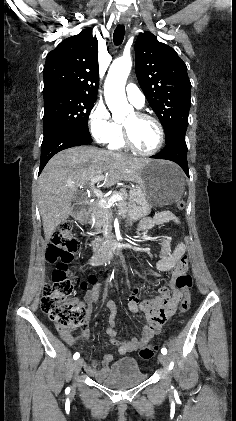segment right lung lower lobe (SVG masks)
Instances as JSON below:
<instances>
[{
  "instance_id": "obj_1",
  "label": "right lung lower lobe",
  "mask_w": 236,
  "mask_h": 421,
  "mask_svg": "<svg viewBox=\"0 0 236 421\" xmlns=\"http://www.w3.org/2000/svg\"><path fill=\"white\" fill-rule=\"evenodd\" d=\"M91 142V137L66 129H57L44 136L41 145L39 174L49 159L59 151L74 146L87 145Z\"/></svg>"
}]
</instances>
